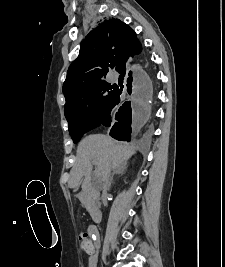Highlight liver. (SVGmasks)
Masks as SVG:
<instances>
[{
  "mask_svg": "<svg viewBox=\"0 0 225 267\" xmlns=\"http://www.w3.org/2000/svg\"><path fill=\"white\" fill-rule=\"evenodd\" d=\"M132 145L117 142L110 136L93 134L85 137L78 145L77 160L71 170L68 186L77 191L80 180L85 177L82 188L85 189L91 180L92 165H96V177L104 180L111 170L117 169L134 155ZM78 196V195H77Z\"/></svg>",
  "mask_w": 225,
  "mask_h": 267,
  "instance_id": "obj_1",
  "label": "liver"
}]
</instances>
